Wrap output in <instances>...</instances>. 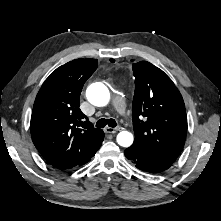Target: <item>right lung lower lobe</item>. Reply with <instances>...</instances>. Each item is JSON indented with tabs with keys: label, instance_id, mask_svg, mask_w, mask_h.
Instances as JSON below:
<instances>
[{
	"label": "right lung lower lobe",
	"instance_id": "98d812e1",
	"mask_svg": "<svg viewBox=\"0 0 221 221\" xmlns=\"http://www.w3.org/2000/svg\"><path fill=\"white\" fill-rule=\"evenodd\" d=\"M86 162H88V160H87ZM86 162H84V163H82V164H80V165H78V166H81V165L85 164Z\"/></svg>",
	"mask_w": 221,
	"mask_h": 221
}]
</instances>
